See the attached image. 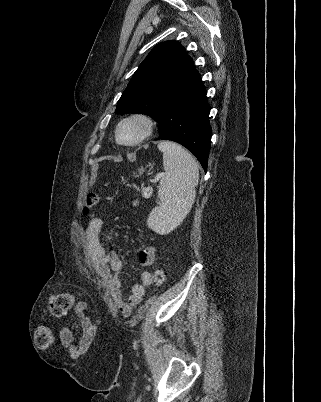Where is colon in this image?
Returning <instances> with one entry per match:
<instances>
[{"label": "colon", "mask_w": 321, "mask_h": 402, "mask_svg": "<svg viewBox=\"0 0 321 402\" xmlns=\"http://www.w3.org/2000/svg\"><path fill=\"white\" fill-rule=\"evenodd\" d=\"M100 202V196L97 194H90L86 199L83 208L84 214H88ZM153 282L156 286H162L166 281V273L163 269L157 268L152 276ZM75 297L70 292H61L51 296L49 301V311L54 317H61L71 310L74 306ZM35 343L39 348H47L53 341L52 330L45 325H39L35 329L34 335Z\"/></svg>", "instance_id": "obj_1"}]
</instances>
